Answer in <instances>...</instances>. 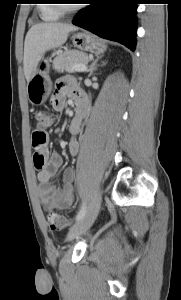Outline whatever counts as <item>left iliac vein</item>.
Here are the masks:
<instances>
[{"instance_id": "obj_1", "label": "left iliac vein", "mask_w": 181, "mask_h": 300, "mask_svg": "<svg viewBox=\"0 0 181 300\" xmlns=\"http://www.w3.org/2000/svg\"><path fill=\"white\" fill-rule=\"evenodd\" d=\"M100 203L101 191L98 190L92 197L91 203L84 217L70 228L67 235L68 240H73L91 227L98 215Z\"/></svg>"}]
</instances>
